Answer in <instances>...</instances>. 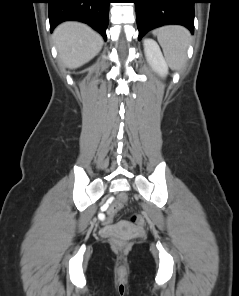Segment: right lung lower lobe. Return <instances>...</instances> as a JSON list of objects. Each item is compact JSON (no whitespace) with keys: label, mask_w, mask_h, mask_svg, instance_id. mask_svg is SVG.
Segmentation results:
<instances>
[{"label":"right lung lower lobe","mask_w":239,"mask_h":296,"mask_svg":"<svg viewBox=\"0 0 239 296\" xmlns=\"http://www.w3.org/2000/svg\"><path fill=\"white\" fill-rule=\"evenodd\" d=\"M50 30L67 20L89 24L106 40L110 0H47Z\"/></svg>","instance_id":"obj_1"}]
</instances>
